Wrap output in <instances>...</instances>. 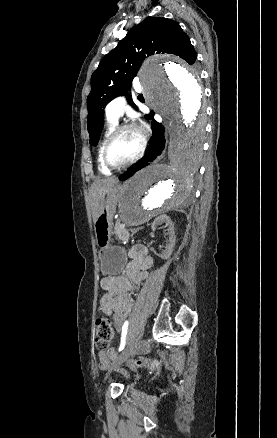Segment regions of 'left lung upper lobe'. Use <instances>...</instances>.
Wrapping results in <instances>:
<instances>
[{
  "label": "left lung upper lobe",
  "instance_id": "left-lung-upper-lobe-1",
  "mask_svg": "<svg viewBox=\"0 0 277 438\" xmlns=\"http://www.w3.org/2000/svg\"><path fill=\"white\" fill-rule=\"evenodd\" d=\"M169 53L193 64L197 53L180 25L162 17H149L132 27L117 47L106 54L91 77L87 98V128L90 144L96 146L104 123V108L119 95H126L146 55ZM128 102L135 107L131 95ZM153 113L146 116L152 119Z\"/></svg>",
  "mask_w": 277,
  "mask_h": 438
}]
</instances>
